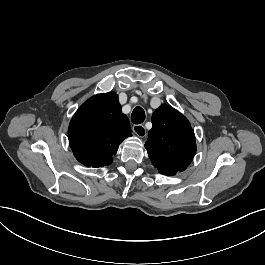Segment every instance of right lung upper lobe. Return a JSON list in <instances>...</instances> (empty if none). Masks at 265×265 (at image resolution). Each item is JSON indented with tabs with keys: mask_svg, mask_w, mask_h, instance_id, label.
Wrapping results in <instances>:
<instances>
[{
	"mask_svg": "<svg viewBox=\"0 0 265 265\" xmlns=\"http://www.w3.org/2000/svg\"><path fill=\"white\" fill-rule=\"evenodd\" d=\"M131 135L129 119L114 92L95 95L82 104L68 129L74 156L94 168L110 165L121 142Z\"/></svg>",
	"mask_w": 265,
	"mask_h": 265,
	"instance_id": "right-lung-upper-lobe-1",
	"label": "right lung upper lobe"
}]
</instances>
